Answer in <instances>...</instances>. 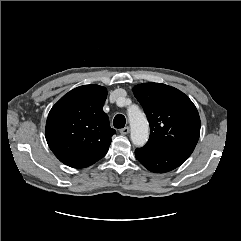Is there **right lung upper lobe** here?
Wrapping results in <instances>:
<instances>
[{
	"instance_id": "right-lung-upper-lobe-1",
	"label": "right lung upper lobe",
	"mask_w": 241,
	"mask_h": 241,
	"mask_svg": "<svg viewBox=\"0 0 241 241\" xmlns=\"http://www.w3.org/2000/svg\"><path fill=\"white\" fill-rule=\"evenodd\" d=\"M106 96V88L84 85L65 94L50 110L46 140L65 165L88 167L107 153L115 130L102 110Z\"/></svg>"
}]
</instances>
